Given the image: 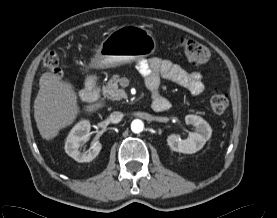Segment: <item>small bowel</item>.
Returning a JSON list of instances; mask_svg holds the SVG:
<instances>
[{"instance_id": "c3829d8e", "label": "small bowel", "mask_w": 277, "mask_h": 218, "mask_svg": "<svg viewBox=\"0 0 277 218\" xmlns=\"http://www.w3.org/2000/svg\"><path fill=\"white\" fill-rule=\"evenodd\" d=\"M136 67L144 77L145 83L152 96V108L159 110V99H166L159 93L161 78L170 80L185 89L192 95H201L205 90L202 75L197 71H187L182 66L168 59L153 57L148 60H139ZM167 100V99H166Z\"/></svg>"}]
</instances>
